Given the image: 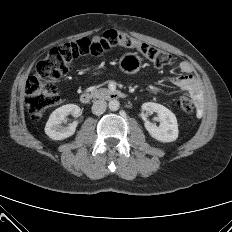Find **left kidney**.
Masks as SVG:
<instances>
[{
	"mask_svg": "<svg viewBox=\"0 0 232 232\" xmlns=\"http://www.w3.org/2000/svg\"><path fill=\"white\" fill-rule=\"evenodd\" d=\"M157 113L160 125L151 123L147 120L148 114ZM142 119L149 134L156 140L161 142H172L178 138V123L176 116L165 106L146 102L142 105Z\"/></svg>",
	"mask_w": 232,
	"mask_h": 232,
	"instance_id": "obj_1",
	"label": "left kidney"
}]
</instances>
